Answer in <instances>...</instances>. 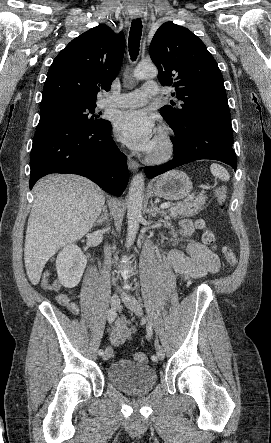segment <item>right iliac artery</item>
Returning a JSON list of instances; mask_svg holds the SVG:
<instances>
[{
  "label": "right iliac artery",
  "mask_w": 271,
  "mask_h": 443,
  "mask_svg": "<svg viewBox=\"0 0 271 443\" xmlns=\"http://www.w3.org/2000/svg\"><path fill=\"white\" fill-rule=\"evenodd\" d=\"M116 315H117V313H116V309L115 308H111L109 311H108V322L111 324V323H113V321L115 320V318H116ZM98 354L101 356V355H103L104 354V350L103 349H100L99 350V352H98Z\"/></svg>",
  "instance_id": "right-iliac-artery-1"
}]
</instances>
